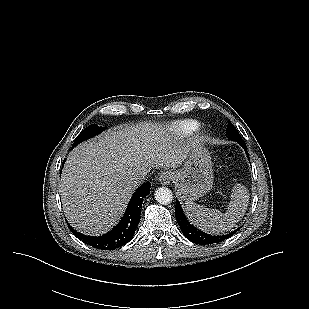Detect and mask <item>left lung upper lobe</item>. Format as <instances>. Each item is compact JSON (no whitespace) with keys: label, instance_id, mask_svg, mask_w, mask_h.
Masks as SVG:
<instances>
[{"label":"left lung upper lobe","instance_id":"5c2ea615","mask_svg":"<svg viewBox=\"0 0 309 309\" xmlns=\"http://www.w3.org/2000/svg\"><path fill=\"white\" fill-rule=\"evenodd\" d=\"M226 132L229 135V138L233 141H241L242 138L239 135V132L237 131V129L234 127V125L229 121L227 128H226Z\"/></svg>","mask_w":309,"mask_h":309}]
</instances>
